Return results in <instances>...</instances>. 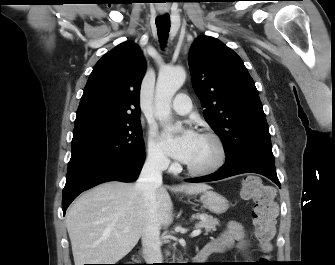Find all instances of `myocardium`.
<instances>
[{"label": "myocardium", "instance_id": "myocardium-1", "mask_svg": "<svg viewBox=\"0 0 335 265\" xmlns=\"http://www.w3.org/2000/svg\"><path fill=\"white\" fill-rule=\"evenodd\" d=\"M201 137L212 140L217 147V157L215 161L204 168H194L186 165V170L193 176H208L217 172L225 163L227 159V148L222 138L214 132H203L200 134Z\"/></svg>", "mask_w": 335, "mask_h": 265}]
</instances>
